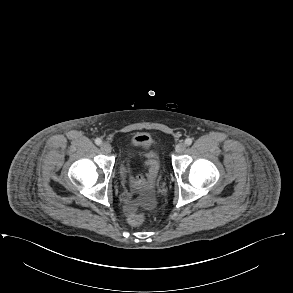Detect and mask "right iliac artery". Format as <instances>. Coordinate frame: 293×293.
Listing matches in <instances>:
<instances>
[{"label": "right iliac artery", "mask_w": 293, "mask_h": 293, "mask_svg": "<svg viewBox=\"0 0 293 293\" xmlns=\"http://www.w3.org/2000/svg\"><path fill=\"white\" fill-rule=\"evenodd\" d=\"M95 143H96L97 145H101V144H102V140H101L100 138H97V139L95 140Z\"/></svg>", "instance_id": "1"}]
</instances>
